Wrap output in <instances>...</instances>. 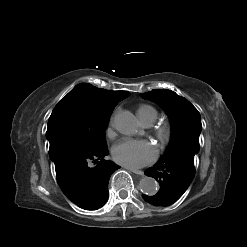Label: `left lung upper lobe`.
Wrapping results in <instances>:
<instances>
[{
  "instance_id": "1",
  "label": "left lung upper lobe",
  "mask_w": 247,
  "mask_h": 247,
  "mask_svg": "<svg viewBox=\"0 0 247 247\" xmlns=\"http://www.w3.org/2000/svg\"><path fill=\"white\" fill-rule=\"evenodd\" d=\"M141 96L159 103L170 117L172 134L164 156L179 151L197 154L202 129L198 110L187 99L167 89H154Z\"/></svg>"
}]
</instances>
